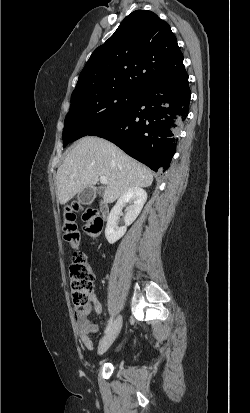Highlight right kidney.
Returning a JSON list of instances; mask_svg holds the SVG:
<instances>
[{
  "instance_id": "1",
  "label": "right kidney",
  "mask_w": 250,
  "mask_h": 413,
  "mask_svg": "<svg viewBox=\"0 0 250 413\" xmlns=\"http://www.w3.org/2000/svg\"><path fill=\"white\" fill-rule=\"evenodd\" d=\"M147 193L140 187L129 188L118 199L116 205L112 208L105 228V237L110 244L118 241L126 233L127 227L131 225L140 214L145 202ZM131 203V208L125 214V225L118 228L117 219L123 206Z\"/></svg>"
}]
</instances>
